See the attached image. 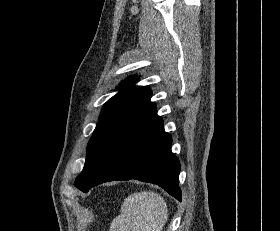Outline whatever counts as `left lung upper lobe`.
Segmentation results:
<instances>
[{
	"instance_id": "5c2ea615",
	"label": "left lung upper lobe",
	"mask_w": 280,
	"mask_h": 231,
	"mask_svg": "<svg viewBox=\"0 0 280 231\" xmlns=\"http://www.w3.org/2000/svg\"><path fill=\"white\" fill-rule=\"evenodd\" d=\"M137 78L130 77L120 84L121 91L103 106L99 122L87 145V156L83 171L75 180L81 185L83 176L105 144L119 131L156 110L150 102L151 91L146 86H134Z\"/></svg>"
}]
</instances>
